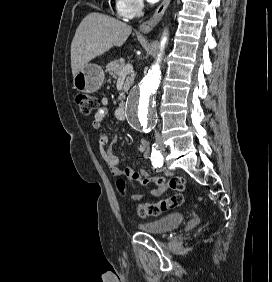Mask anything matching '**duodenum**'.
I'll return each mask as SVG.
<instances>
[{
	"label": "duodenum",
	"instance_id": "duodenum-1",
	"mask_svg": "<svg viewBox=\"0 0 272 282\" xmlns=\"http://www.w3.org/2000/svg\"><path fill=\"white\" fill-rule=\"evenodd\" d=\"M125 110V101H122L118 108V115L122 116Z\"/></svg>",
	"mask_w": 272,
	"mask_h": 282
}]
</instances>
